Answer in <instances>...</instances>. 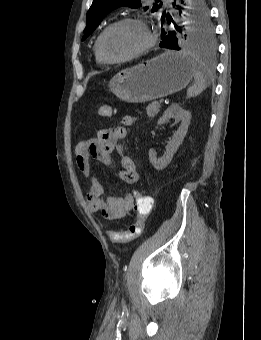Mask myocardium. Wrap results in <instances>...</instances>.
Masks as SVG:
<instances>
[{"label": "myocardium", "mask_w": 261, "mask_h": 340, "mask_svg": "<svg viewBox=\"0 0 261 340\" xmlns=\"http://www.w3.org/2000/svg\"><path fill=\"white\" fill-rule=\"evenodd\" d=\"M124 23H133V24L140 26L146 34L147 41L142 48H140L139 50H137L136 52H134L132 54H129V55H126V56H123V57H118V58H111L103 52V49H102L103 38L112 28H114L118 25L124 24ZM155 43H156V36L151 31L149 26L142 19H139L137 17L128 16V17L120 18V19L110 23L108 26H106L103 29V31L100 33V35L98 36V38L96 40V50H97L99 56L105 62H107V63H121V62L130 61V60H133L135 58L142 56L143 54L147 53L155 45Z\"/></svg>", "instance_id": "f54148a6"}]
</instances>
